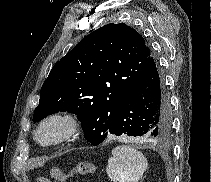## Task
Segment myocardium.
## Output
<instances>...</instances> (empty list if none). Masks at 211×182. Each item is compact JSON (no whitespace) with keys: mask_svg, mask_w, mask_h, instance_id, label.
Wrapping results in <instances>:
<instances>
[{"mask_svg":"<svg viewBox=\"0 0 211 182\" xmlns=\"http://www.w3.org/2000/svg\"><path fill=\"white\" fill-rule=\"evenodd\" d=\"M52 123H61L64 130L56 137L44 139L41 136L42 131ZM80 118L68 111L54 112L43 118L35 128L34 139L43 147H51L62 144L73 138L81 129Z\"/></svg>","mask_w":211,"mask_h":182,"instance_id":"myocardium-1","label":"myocardium"}]
</instances>
